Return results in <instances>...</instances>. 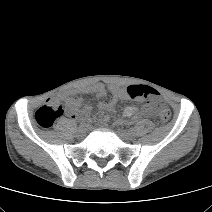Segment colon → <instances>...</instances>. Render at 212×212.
<instances>
[{"label": "colon", "mask_w": 212, "mask_h": 212, "mask_svg": "<svg viewBox=\"0 0 212 212\" xmlns=\"http://www.w3.org/2000/svg\"><path fill=\"white\" fill-rule=\"evenodd\" d=\"M128 94L131 98H143L152 107H161L162 100L158 91L149 86L133 85L128 87ZM65 102H59L49 99L45 104L40 106L35 113V121L42 128L51 127L54 122L64 113ZM160 118L164 122L171 119V112L167 108H161Z\"/></svg>", "instance_id": "5ec220e1"}]
</instances>
